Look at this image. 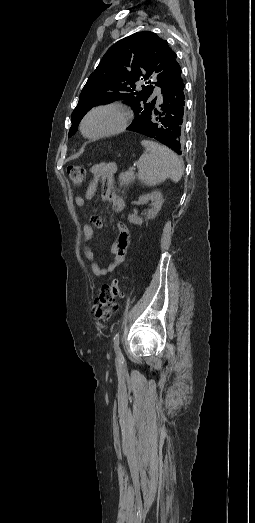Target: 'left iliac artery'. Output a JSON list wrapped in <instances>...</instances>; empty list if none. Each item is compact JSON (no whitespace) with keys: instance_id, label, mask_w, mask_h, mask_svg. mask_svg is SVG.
<instances>
[{"instance_id":"left-iliac-artery-1","label":"left iliac artery","mask_w":255,"mask_h":523,"mask_svg":"<svg viewBox=\"0 0 255 523\" xmlns=\"http://www.w3.org/2000/svg\"><path fill=\"white\" fill-rule=\"evenodd\" d=\"M113 343H114V350L116 352V355L119 359V361H123V355L119 347V333H116L113 337Z\"/></svg>"}]
</instances>
